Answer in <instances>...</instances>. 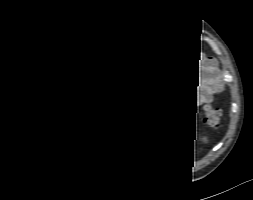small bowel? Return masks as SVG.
I'll list each match as a JSON object with an SVG mask.
<instances>
[{"instance_id":"c3829d8e","label":"small bowel","mask_w":253,"mask_h":200,"mask_svg":"<svg viewBox=\"0 0 253 200\" xmlns=\"http://www.w3.org/2000/svg\"><path fill=\"white\" fill-rule=\"evenodd\" d=\"M189 49L196 69L190 75L191 87L184 92L183 99L189 105L196 106L211 102L213 95L223 90V85L214 59L203 54L199 48L190 46ZM167 75L170 73L167 72Z\"/></svg>"}]
</instances>
